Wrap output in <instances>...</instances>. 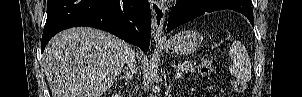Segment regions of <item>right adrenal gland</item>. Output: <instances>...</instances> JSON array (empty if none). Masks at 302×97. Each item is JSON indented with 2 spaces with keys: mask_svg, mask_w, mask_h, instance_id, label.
Returning a JSON list of instances; mask_svg holds the SVG:
<instances>
[{
  "mask_svg": "<svg viewBox=\"0 0 302 97\" xmlns=\"http://www.w3.org/2000/svg\"><path fill=\"white\" fill-rule=\"evenodd\" d=\"M119 80H125L127 83H130V81L132 80V75L128 69H126L124 75L119 77Z\"/></svg>",
  "mask_w": 302,
  "mask_h": 97,
  "instance_id": "1",
  "label": "right adrenal gland"
}]
</instances>
